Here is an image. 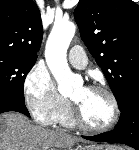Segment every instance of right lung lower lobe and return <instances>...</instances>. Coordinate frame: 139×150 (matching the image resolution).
<instances>
[{
	"instance_id": "1",
	"label": "right lung lower lobe",
	"mask_w": 139,
	"mask_h": 150,
	"mask_svg": "<svg viewBox=\"0 0 139 150\" xmlns=\"http://www.w3.org/2000/svg\"><path fill=\"white\" fill-rule=\"evenodd\" d=\"M8 111L20 112L30 117L24 99H19L8 94H0V113Z\"/></svg>"
}]
</instances>
